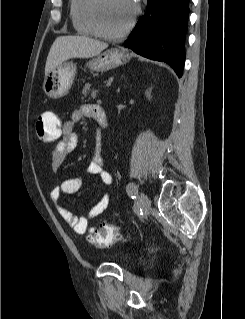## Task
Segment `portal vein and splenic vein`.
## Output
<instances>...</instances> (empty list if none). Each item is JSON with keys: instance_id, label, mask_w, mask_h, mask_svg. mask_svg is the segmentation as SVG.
<instances>
[{"instance_id": "1", "label": "portal vein and splenic vein", "mask_w": 245, "mask_h": 319, "mask_svg": "<svg viewBox=\"0 0 245 319\" xmlns=\"http://www.w3.org/2000/svg\"><path fill=\"white\" fill-rule=\"evenodd\" d=\"M99 92H100V91H98V90L94 91V92L92 93V97H93V98H96L97 93H99Z\"/></svg>"}]
</instances>
